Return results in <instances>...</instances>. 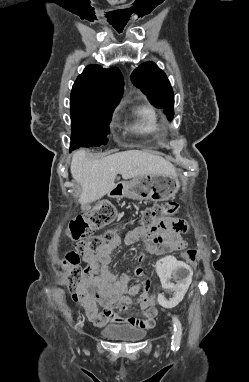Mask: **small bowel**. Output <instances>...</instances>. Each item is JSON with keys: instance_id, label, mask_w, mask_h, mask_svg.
<instances>
[{"instance_id": "obj_1", "label": "small bowel", "mask_w": 249, "mask_h": 382, "mask_svg": "<svg viewBox=\"0 0 249 382\" xmlns=\"http://www.w3.org/2000/svg\"><path fill=\"white\" fill-rule=\"evenodd\" d=\"M187 229L188 226L184 219L168 216L150 228H137L129 232L124 239L115 234L111 240L103 244L99 251L85 253L83 255L86 263L85 275L78 288L80 296L78 301L84 308L89 321L96 326L115 322L143 330L152 329L155 325L154 317L157 311L154 307V298L148 294L145 288L146 282L141 281L128 287L129 277H119L109 268L112 253L122 243L132 245L141 239L150 246H158L159 250H182L185 246L182 234ZM145 257L144 252L137 253L138 261H144ZM139 293L141 294L137 303L141 308L142 316H125L127 306L132 303V296ZM98 304L103 306L102 312L98 310ZM152 308L153 311H151Z\"/></svg>"}]
</instances>
